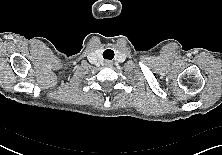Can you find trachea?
<instances>
[{"mask_svg":"<svg viewBox=\"0 0 222 155\" xmlns=\"http://www.w3.org/2000/svg\"><path fill=\"white\" fill-rule=\"evenodd\" d=\"M103 58L108 59V60H112L114 58V51L111 49H106L103 52Z\"/></svg>","mask_w":222,"mask_h":155,"instance_id":"trachea-1","label":"trachea"}]
</instances>
